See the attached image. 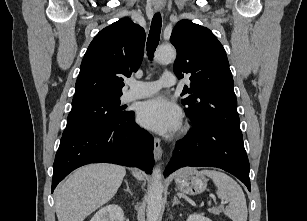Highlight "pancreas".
Segmentation results:
<instances>
[{
    "mask_svg": "<svg viewBox=\"0 0 307 221\" xmlns=\"http://www.w3.org/2000/svg\"><path fill=\"white\" fill-rule=\"evenodd\" d=\"M223 208L222 207H215V208H211L210 212L215 214V215H219L222 212Z\"/></svg>",
    "mask_w": 307,
    "mask_h": 221,
    "instance_id": "1",
    "label": "pancreas"
}]
</instances>
